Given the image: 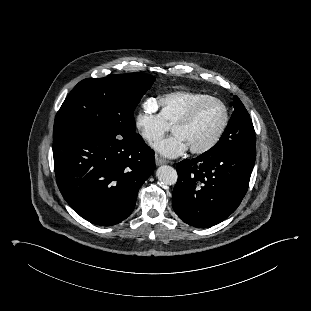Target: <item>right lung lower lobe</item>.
<instances>
[{"label": "right lung lower lobe", "mask_w": 311, "mask_h": 311, "mask_svg": "<svg viewBox=\"0 0 311 311\" xmlns=\"http://www.w3.org/2000/svg\"><path fill=\"white\" fill-rule=\"evenodd\" d=\"M59 190L87 221L111 226L133 211L139 188L155 168L154 151L137 134L130 139L73 135L54 139Z\"/></svg>", "instance_id": "98d812e1"}]
</instances>
